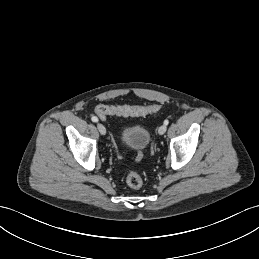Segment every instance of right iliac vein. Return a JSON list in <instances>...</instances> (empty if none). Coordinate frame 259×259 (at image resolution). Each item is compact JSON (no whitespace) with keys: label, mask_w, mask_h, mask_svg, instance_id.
I'll return each instance as SVG.
<instances>
[{"label":"right iliac vein","mask_w":259,"mask_h":259,"mask_svg":"<svg viewBox=\"0 0 259 259\" xmlns=\"http://www.w3.org/2000/svg\"><path fill=\"white\" fill-rule=\"evenodd\" d=\"M97 128H98V130H99V132H100L101 135H105V134H106V128L104 127L103 124L98 123V124H97Z\"/></svg>","instance_id":"obj_1"}]
</instances>
